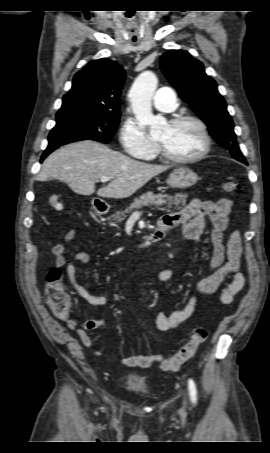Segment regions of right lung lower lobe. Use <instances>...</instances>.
<instances>
[{"mask_svg":"<svg viewBox=\"0 0 270 453\" xmlns=\"http://www.w3.org/2000/svg\"><path fill=\"white\" fill-rule=\"evenodd\" d=\"M60 146L61 145H48L47 149L44 151V153L41 157L40 162H42L46 158V156H48L52 151H54L55 149H57Z\"/></svg>","mask_w":270,"mask_h":453,"instance_id":"right-lung-lower-lobe-1","label":"right lung lower lobe"}]
</instances>
